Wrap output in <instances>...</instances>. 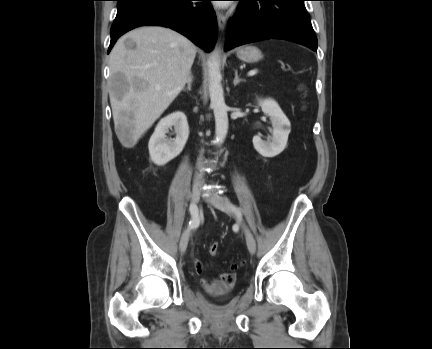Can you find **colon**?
<instances>
[{
  "label": "colon",
  "instance_id": "obj_1",
  "mask_svg": "<svg viewBox=\"0 0 432 349\" xmlns=\"http://www.w3.org/2000/svg\"><path fill=\"white\" fill-rule=\"evenodd\" d=\"M218 249H219V245L217 242H213L210 246H209V254L212 256L217 255L218 253Z\"/></svg>",
  "mask_w": 432,
  "mask_h": 349
}]
</instances>
